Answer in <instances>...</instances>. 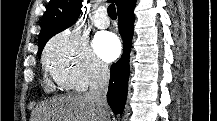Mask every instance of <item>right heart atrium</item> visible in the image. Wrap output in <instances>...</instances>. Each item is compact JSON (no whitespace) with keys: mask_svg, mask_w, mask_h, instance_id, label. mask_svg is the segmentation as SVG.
<instances>
[{"mask_svg":"<svg viewBox=\"0 0 217 121\" xmlns=\"http://www.w3.org/2000/svg\"><path fill=\"white\" fill-rule=\"evenodd\" d=\"M45 69L62 88L84 91L106 81L108 67L95 55L86 39L66 30L55 35L44 51Z\"/></svg>","mask_w":217,"mask_h":121,"instance_id":"d8ad5b80","label":"right heart atrium"}]
</instances>
